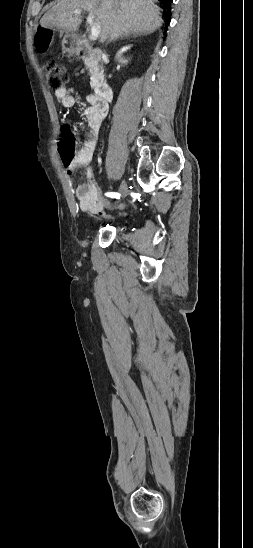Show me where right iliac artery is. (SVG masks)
<instances>
[{
    "mask_svg": "<svg viewBox=\"0 0 253 548\" xmlns=\"http://www.w3.org/2000/svg\"><path fill=\"white\" fill-rule=\"evenodd\" d=\"M105 195L108 196V197H111V198H115V199H119V197H120V194L115 193V192H108Z\"/></svg>",
    "mask_w": 253,
    "mask_h": 548,
    "instance_id": "1",
    "label": "right iliac artery"
}]
</instances>
